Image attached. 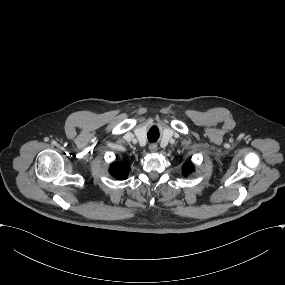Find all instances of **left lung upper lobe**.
Returning a JSON list of instances; mask_svg holds the SVG:
<instances>
[{
    "label": "left lung upper lobe",
    "instance_id": "left-lung-upper-lobe-1",
    "mask_svg": "<svg viewBox=\"0 0 285 285\" xmlns=\"http://www.w3.org/2000/svg\"><path fill=\"white\" fill-rule=\"evenodd\" d=\"M182 170H183V174L187 176L193 171V165L191 164V162H187L183 165Z\"/></svg>",
    "mask_w": 285,
    "mask_h": 285
}]
</instances>
